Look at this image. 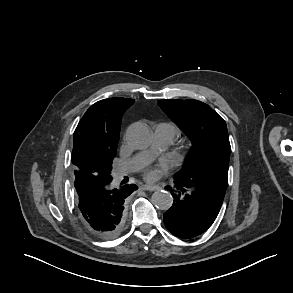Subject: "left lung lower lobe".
<instances>
[{"label":"left lung lower lobe","instance_id":"left-lung-lower-lobe-1","mask_svg":"<svg viewBox=\"0 0 293 293\" xmlns=\"http://www.w3.org/2000/svg\"><path fill=\"white\" fill-rule=\"evenodd\" d=\"M168 188L174 203L164 214V224L169 232L183 239L193 238L207 230L215 221L225 191L209 188L194 181H174Z\"/></svg>","mask_w":293,"mask_h":293}]
</instances>
